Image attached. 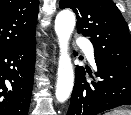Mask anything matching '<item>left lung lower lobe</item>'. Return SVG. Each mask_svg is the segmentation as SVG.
Masks as SVG:
<instances>
[{"instance_id": "0a47b994", "label": "left lung lower lobe", "mask_w": 131, "mask_h": 115, "mask_svg": "<svg viewBox=\"0 0 131 115\" xmlns=\"http://www.w3.org/2000/svg\"><path fill=\"white\" fill-rule=\"evenodd\" d=\"M76 55V52H74ZM100 80L87 82L85 70L77 66L67 115H98L121 105H131V73L95 57Z\"/></svg>"}]
</instances>
